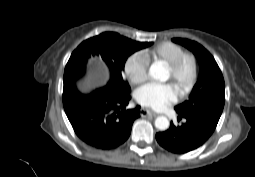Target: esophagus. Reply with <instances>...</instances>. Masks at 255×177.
<instances>
[{"mask_svg":"<svg viewBox=\"0 0 255 177\" xmlns=\"http://www.w3.org/2000/svg\"><path fill=\"white\" fill-rule=\"evenodd\" d=\"M139 114L141 116H152V117H156L157 116V114L155 112H153V111H151L149 109H145V108H141L139 110Z\"/></svg>","mask_w":255,"mask_h":177,"instance_id":"34e87169","label":"esophagus"}]
</instances>
